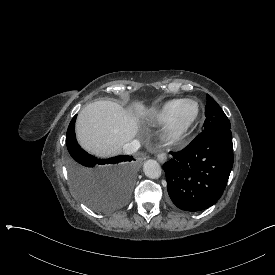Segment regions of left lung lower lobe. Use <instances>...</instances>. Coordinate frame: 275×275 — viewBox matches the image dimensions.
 Instances as JSON below:
<instances>
[{
    "mask_svg": "<svg viewBox=\"0 0 275 275\" xmlns=\"http://www.w3.org/2000/svg\"><path fill=\"white\" fill-rule=\"evenodd\" d=\"M231 128L205 130L163 165L172 202L184 211H201L222 196L233 166Z\"/></svg>",
    "mask_w": 275,
    "mask_h": 275,
    "instance_id": "obj_1",
    "label": "left lung lower lobe"
}]
</instances>
